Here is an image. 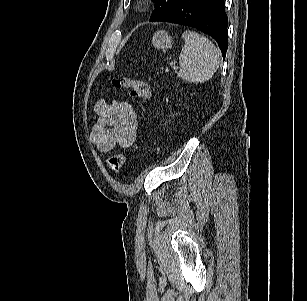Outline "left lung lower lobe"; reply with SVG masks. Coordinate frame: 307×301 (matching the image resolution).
Here are the masks:
<instances>
[{
  "instance_id": "left-lung-lower-lobe-1",
  "label": "left lung lower lobe",
  "mask_w": 307,
  "mask_h": 301,
  "mask_svg": "<svg viewBox=\"0 0 307 301\" xmlns=\"http://www.w3.org/2000/svg\"><path fill=\"white\" fill-rule=\"evenodd\" d=\"M157 21L191 26L210 35L218 43L225 58L228 48V17L224 0H179Z\"/></svg>"
}]
</instances>
